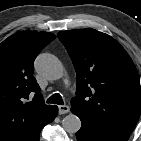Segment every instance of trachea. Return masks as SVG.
I'll return each mask as SVG.
<instances>
[{
  "label": "trachea",
  "mask_w": 141,
  "mask_h": 141,
  "mask_svg": "<svg viewBox=\"0 0 141 141\" xmlns=\"http://www.w3.org/2000/svg\"><path fill=\"white\" fill-rule=\"evenodd\" d=\"M47 103L63 105V99L59 93H55L47 99Z\"/></svg>",
  "instance_id": "obj_1"
}]
</instances>
